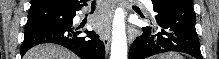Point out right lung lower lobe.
I'll return each mask as SVG.
<instances>
[{"label": "right lung lower lobe", "instance_id": "98d812e1", "mask_svg": "<svg viewBox=\"0 0 219 59\" xmlns=\"http://www.w3.org/2000/svg\"><path fill=\"white\" fill-rule=\"evenodd\" d=\"M84 5H86L85 0H82L72 8H65V14L59 24L25 32L21 56L38 44L55 43L70 49L81 59H105L104 44L99 36L94 32L82 31L72 26L76 11H79ZM83 33H86L87 36H83Z\"/></svg>", "mask_w": 219, "mask_h": 59}]
</instances>
